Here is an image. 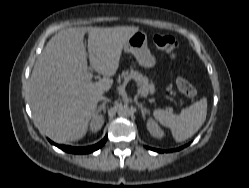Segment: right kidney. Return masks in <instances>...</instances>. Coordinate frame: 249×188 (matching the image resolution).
<instances>
[{
    "mask_svg": "<svg viewBox=\"0 0 249 188\" xmlns=\"http://www.w3.org/2000/svg\"><path fill=\"white\" fill-rule=\"evenodd\" d=\"M103 123L104 118L101 115L95 114L89 123L91 132L96 133L99 131L103 126Z\"/></svg>",
    "mask_w": 249,
    "mask_h": 188,
    "instance_id": "obj_1",
    "label": "right kidney"
}]
</instances>
